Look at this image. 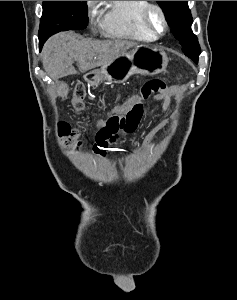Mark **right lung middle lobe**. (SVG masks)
Masks as SVG:
<instances>
[{
    "instance_id": "right-lung-middle-lobe-1",
    "label": "right lung middle lobe",
    "mask_w": 237,
    "mask_h": 300,
    "mask_svg": "<svg viewBox=\"0 0 237 300\" xmlns=\"http://www.w3.org/2000/svg\"><path fill=\"white\" fill-rule=\"evenodd\" d=\"M86 1H43L39 45L53 34L66 30H81L88 24Z\"/></svg>"
}]
</instances>
